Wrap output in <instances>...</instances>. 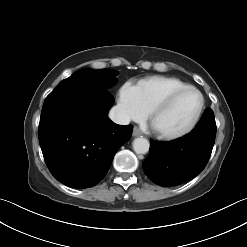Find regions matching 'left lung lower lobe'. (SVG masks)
<instances>
[{
    "label": "left lung lower lobe",
    "mask_w": 247,
    "mask_h": 247,
    "mask_svg": "<svg viewBox=\"0 0 247 247\" xmlns=\"http://www.w3.org/2000/svg\"><path fill=\"white\" fill-rule=\"evenodd\" d=\"M213 110L207 108L192 132L172 142L150 140L144 173L154 183L170 187L195 178L205 168L215 142Z\"/></svg>",
    "instance_id": "0a47b994"
}]
</instances>
